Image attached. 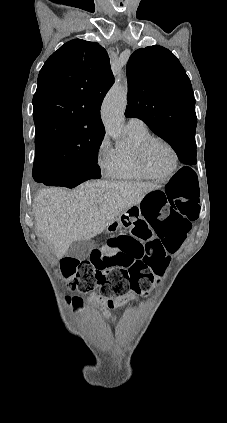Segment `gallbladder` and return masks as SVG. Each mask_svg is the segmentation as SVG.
<instances>
[{"label":"gallbladder","mask_w":227,"mask_h":423,"mask_svg":"<svg viewBox=\"0 0 227 423\" xmlns=\"http://www.w3.org/2000/svg\"><path fill=\"white\" fill-rule=\"evenodd\" d=\"M95 247L94 239H80V241H73L71 243L67 255L69 257H76V259H86L91 253V249Z\"/></svg>","instance_id":"obj_1"}]
</instances>
